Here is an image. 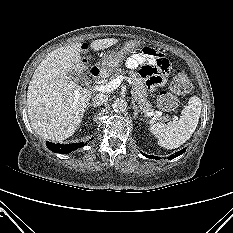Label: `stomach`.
I'll use <instances>...</instances> for the list:
<instances>
[{"label": "stomach", "mask_w": 233, "mask_h": 233, "mask_svg": "<svg viewBox=\"0 0 233 233\" xmlns=\"http://www.w3.org/2000/svg\"><path fill=\"white\" fill-rule=\"evenodd\" d=\"M140 47L141 42L138 40L126 41L121 51L104 56L98 62V67L103 73H113L122 65L125 55L135 52Z\"/></svg>", "instance_id": "1"}]
</instances>
